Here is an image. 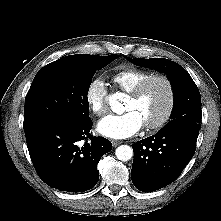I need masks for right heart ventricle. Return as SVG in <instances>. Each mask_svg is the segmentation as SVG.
Returning <instances> with one entry per match:
<instances>
[{
	"instance_id": "e07e8e85",
	"label": "right heart ventricle",
	"mask_w": 221,
	"mask_h": 221,
	"mask_svg": "<svg viewBox=\"0 0 221 221\" xmlns=\"http://www.w3.org/2000/svg\"><path fill=\"white\" fill-rule=\"evenodd\" d=\"M150 75H152L151 72L128 66L116 72L112 76V82L121 91L130 93L142 80Z\"/></svg>"
}]
</instances>
